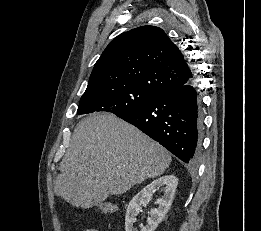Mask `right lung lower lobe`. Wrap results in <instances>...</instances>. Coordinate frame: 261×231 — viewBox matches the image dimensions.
<instances>
[{"label": "right lung lower lobe", "instance_id": "98d812e1", "mask_svg": "<svg viewBox=\"0 0 261 231\" xmlns=\"http://www.w3.org/2000/svg\"><path fill=\"white\" fill-rule=\"evenodd\" d=\"M118 117L139 128L183 162L197 163L203 117L201 97L193 79Z\"/></svg>", "mask_w": 261, "mask_h": 231}]
</instances>
